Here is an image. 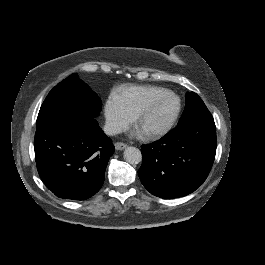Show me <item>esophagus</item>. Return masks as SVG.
<instances>
[{
	"mask_svg": "<svg viewBox=\"0 0 265 265\" xmlns=\"http://www.w3.org/2000/svg\"><path fill=\"white\" fill-rule=\"evenodd\" d=\"M126 147H127V145L122 143V142H116L115 143V149L116 150H124Z\"/></svg>",
	"mask_w": 265,
	"mask_h": 265,
	"instance_id": "1",
	"label": "esophagus"
}]
</instances>
